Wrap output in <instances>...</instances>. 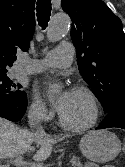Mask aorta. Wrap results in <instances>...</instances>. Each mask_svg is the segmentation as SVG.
<instances>
[{"label":"aorta","mask_w":125,"mask_h":167,"mask_svg":"<svg viewBox=\"0 0 125 167\" xmlns=\"http://www.w3.org/2000/svg\"><path fill=\"white\" fill-rule=\"evenodd\" d=\"M69 27L70 18L66 14L55 15L47 30L48 40L51 42L59 41L68 32Z\"/></svg>","instance_id":"obj_1"}]
</instances>
